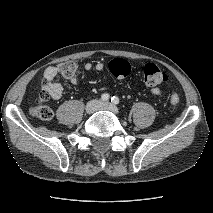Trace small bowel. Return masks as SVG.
Returning a JSON list of instances; mask_svg holds the SVG:
<instances>
[{
  "mask_svg": "<svg viewBox=\"0 0 213 213\" xmlns=\"http://www.w3.org/2000/svg\"><path fill=\"white\" fill-rule=\"evenodd\" d=\"M107 66V63L105 61H99L95 64L93 63H86L85 69L86 70H92L96 69L98 71L104 70ZM59 69L55 66H49L45 69L43 78H44V84H43V89L46 90L51 98L58 100L63 96L64 89L61 83L57 82L55 80L57 74H58ZM72 82H76V78H72ZM152 93L154 95H159L160 94V89L157 87L152 88Z\"/></svg>",
  "mask_w": 213,
  "mask_h": 213,
  "instance_id": "1",
  "label": "small bowel"
}]
</instances>
